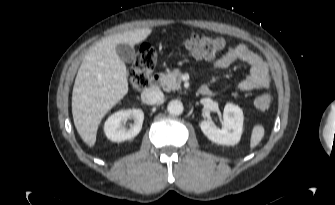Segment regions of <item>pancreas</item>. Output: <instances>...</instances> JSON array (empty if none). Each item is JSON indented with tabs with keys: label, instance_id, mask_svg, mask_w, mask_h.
I'll use <instances>...</instances> for the list:
<instances>
[{
	"label": "pancreas",
	"instance_id": "cf45deb5",
	"mask_svg": "<svg viewBox=\"0 0 335 205\" xmlns=\"http://www.w3.org/2000/svg\"><path fill=\"white\" fill-rule=\"evenodd\" d=\"M181 71L174 69L161 75V84L165 91H175L181 88Z\"/></svg>",
	"mask_w": 335,
	"mask_h": 205
}]
</instances>
